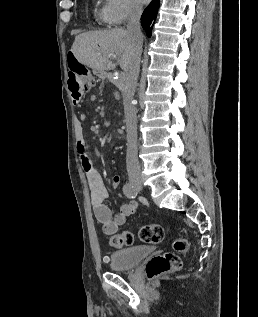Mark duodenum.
<instances>
[{"label":"duodenum","instance_id":"duodenum-1","mask_svg":"<svg viewBox=\"0 0 258 317\" xmlns=\"http://www.w3.org/2000/svg\"><path fill=\"white\" fill-rule=\"evenodd\" d=\"M67 87L71 95L72 101L75 104L79 103L86 92V88L84 87L81 78L76 72H68Z\"/></svg>","mask_w":258,"mask_h":317}]
</instances>
